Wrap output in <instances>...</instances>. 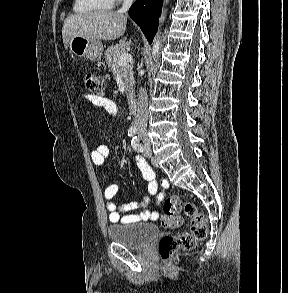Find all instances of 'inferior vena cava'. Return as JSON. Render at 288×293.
Wrapping results in <instances>:
<instances>
[{"label": "inferior vena cava", "instance_id": "1", "mask_svg": "<svg viewBox=\"0 0 288 293\" xmlns=\"http://www.w3.org/2000/svg\"><path fill=\"white\" fill-rule=\"evenodd\" d=\"M134 0H124L122 8L119 10L120 13H125L128 11ZM147 121H148V98L147 92L144 88H141L138 98V109L136 116V124L138 129V134H140L147 143Z\"/></svg>", "mask_w": 288, "mask_h": 293}]
</instances>
